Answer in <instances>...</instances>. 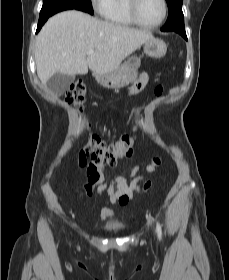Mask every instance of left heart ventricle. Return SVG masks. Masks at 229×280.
I'll use <instances>...</instances> for the list:
<instances>
[{"mask_svg":"<svg viewBox=\"0 0 229 280\" xmlns=\"http://www.w3.org/2000/svg\"><path fill=\"white\" fill-rule=\"evenodd\" d=\"M163 13L161 0H140L138 5V15L140 19L148 24L158 22Z\"/></svg>","mask_w":229,"mask_h":280,"instance_id":"1","label":"left heart ventricle"}]
</instances>
